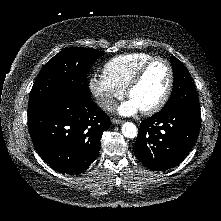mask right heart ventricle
Here are the masks:
<instances>
[{"mask_svg":"<svg viewBox=\"0 0 221 221\" xmlns=\"http://www.w3.org/2000/svg\"><path fill=\"white\" fill-rule=\"evenodd\" d=\"M151 58V55L140 52L118 55L104 65L103 73L125 91L136 71Z\"/></svg>","mask_w":221,"mask_h":221,"instance_id":"e07e8e85","label":"right heart ventricle"}]
</instances>
